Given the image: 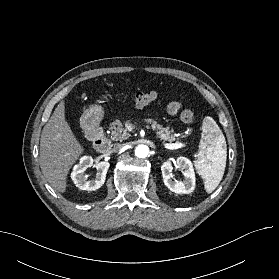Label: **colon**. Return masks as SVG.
Instances as JSON below:
<instances>
[{"mask_svg":"<svg viewBox=\"0 0 279 279\" xmlns=\"http://www.w3.org/2000/svg\"><path fill=\"white\" fill-rule=\"evenodd\" d=\"M157 97L158 94L155 91L136 92L130 95V100L134 105L143 107L155 101ZM180 117L185 123H192L198 118L197 114L191 109L183 110Z\"/></svg>","mask_w":279,"mask_h":279,"instance_id":"obj_1","label":"colon"}]
</instances>
